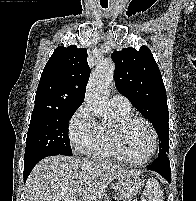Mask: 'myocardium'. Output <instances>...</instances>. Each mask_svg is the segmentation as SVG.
I'll return each mask as SVG.
<instances>
[{"instance_id":"f54148a6","label":"myocardium","mask_w":196,"mask_h":201,"mask_svg":"<svg viewBox=\"0 0 196 201\" xmlns=\"http://www.w3.org/2000/svg\"><path fill=\"white\" fill-rule=\"evenodd\" d=\"M136 122L144 123L150 130L152 135V148L149 154L143 159L136 160L131 155L126 145V136L128 129ZM115 140L119 151L127 162L133 165H145L156 154L158 149V134L154 125L146 118L141 116H129L125 119L119 120L115 125Z\"/></svg>"}]
</instances>
